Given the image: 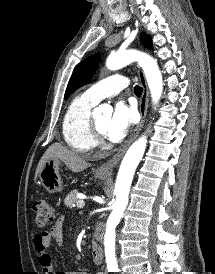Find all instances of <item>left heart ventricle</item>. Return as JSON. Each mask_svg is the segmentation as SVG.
I'll return each mask as SVG.
<instances>
[{"label":"left heart ventricle","mask_w":215,"mask_h":274,"mask_svg":"<svg viewBox=\"0 0 215 274\" xmlns=\"http://www.w3.org/2000/svg\"><path fill=\"white\" fill-rule=\"evenodd\" d=\"M109 119H110L109 116H99V117L94 118V120L101 132L105 133Z\"/></svg>","instance_id":"obj_1"}]
</instances>
